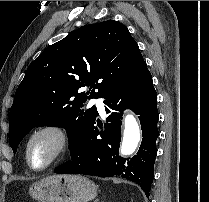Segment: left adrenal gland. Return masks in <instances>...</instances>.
Listing matches in <instances>:
<instances>
[{"label": "left adrenal gland", "mask_w": 209, "mask_h": 202, "mask_svg": "<svg viewBox=\"0 0 209 202\" xmlns=\"http://www.w3.org/2000/svg\"><path fill=\"white\" fill-rule=\"evenodd\" d=\"M94 202H99V199H96Z\"/></svg>", "instance_id": "left-adrenal-gland-1"}]
</instances>
